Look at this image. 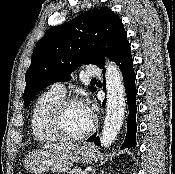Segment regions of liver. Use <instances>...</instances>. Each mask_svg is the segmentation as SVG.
I'll use <instances>...</instances> for the list:
<instances>
[{
    "instance_id": "liver-1",
    "label": "liver",
    "mask_w": 175,
    "mask_h": 174,
    "mask_svg": "<svg viewBox=\"0 0 175 174\" xmlns=\"http://www.w3.org/2000/svg\"><path fill=\"white\" fill-rule=\"evenodd\" d=\"M77 147V145L71 143H61V144H47L44 145L43 148L45 149H59V150H67L72 151Z\"/></svg>"
}]
</instances>
